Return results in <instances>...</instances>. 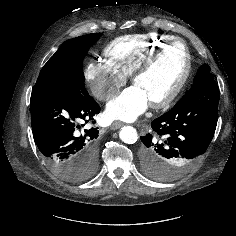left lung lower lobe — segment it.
<instances>
[{
  "label": "left lung lower lobe",
  "instance_id": "1",
  "mask_svg": "<svg viewBox=\"0 0 236 236\" xmlns=\"http://www.w3.org/2000/svg\"><path fill=\"white\" fill-rule=\"evenodd\" d=\"M219 88L214 79L202 81L167 113L151 123L143 142L145 174L169 180L192 168L206 152L217 125Z\"/></svg>",
  "mask_w": 236,
  "mask_h": 236
}]
</instances>
